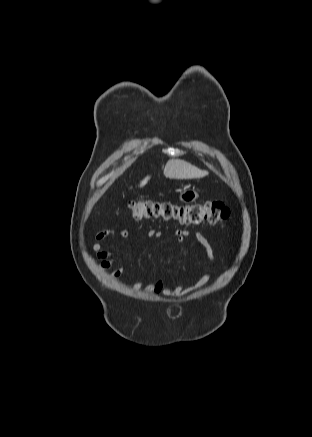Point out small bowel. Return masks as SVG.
I'll use <instances>...</instances> for the list:
<instances>
[{"mask_svg": "<svg viewBox=\"0 0 312 437\" xmlns=\"http://www.w3.org/2000/svg\"><path fill=\"white\" fill-rule=\"evenodd\" d=\"M112 235H117L124 239H129L131 237L129 232L126 230L107 229L97 233V235L95 236V243L93 245V250L96 254V257L100 260L99 267L102 271L110 269L114 265V263L116 262L119 256L118 253L109 250L102 243L104 239ZM192 235H194L196 241L205 249L206 253L210 258L212 254V249L206 238L201 233L197 232L192 234L187 230L175 231V236L178 242H184L187 238H190ZM146 236L149 238H160L162 236V233L157 230H150L147 232ZM122 273H123V268L122 267L117 268L116 270L113 271L112 278H118L122 275ZM209 277H210L209 273L205 274L202 278L199 279V281L195 285L191 287L177 286L174 288H166L164 287L162 281L159 280L155 283L145 286H143L142 283H137L135 285V289L137 290L143 289L153 295L162 294L165 296H172V297L181 296L202 287L208 281Z\"/></svg>", "mask_w": 312, "mask_h": 437, "instance_id": "obj_1", "label": "small bowel"}]
</instances>
